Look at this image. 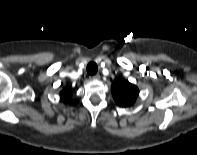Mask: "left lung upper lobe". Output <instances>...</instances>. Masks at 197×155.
Listing matches in <instances>:
<instances>
[{
    "label": "left lung upper lobe",
    "instance_id": "obj_1",
    "mask_svg": "<svg viewBox=\"0 0 197 155\" xmlns=\"http://www.w3.org/2000/svg\"><path fill=\"white\" fill-rule=\"evenodd\" d=\"M112 95L119 106L128 107L135 103L139 89L130 82L118 78L112 84Z\"/></svg>",
    "mask_w": 197,
    "mask_h": 155
}]
</instances>
